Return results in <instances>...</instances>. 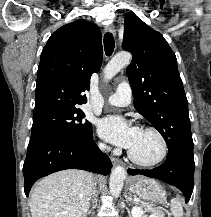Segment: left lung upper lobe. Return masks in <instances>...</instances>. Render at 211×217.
Listing matches in <instances>:
<instances>
[{
    "mask_svg": "<svg viewBox=\"0 0 211 217\" xmlns=\"http://www.w3.org/2000/svg\"><path fill=\"white\" fill-rule=\"evenodd\" d=\"M122 48L132 53L126 73L135 109L163 136L168 149L193 150L188 102L177 59L164 37L137 16H125Z\"/></svg>",
    "mask_w": 211,
    "mask_h": 217,
    "instance_id": "left-lung-upper-lobe-1",
    "label": "left lung upper lobe"
}]
</instances>
